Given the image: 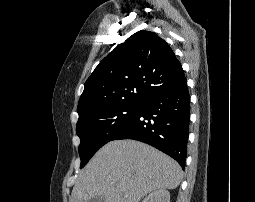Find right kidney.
Wrapping results in <instances>:
<instances>
[{"mask_svg": "<svg viewBox=\"0 0 255 202\" xmlns=\"http://www.w3.org/2000/svg\"><path fill=\"white\" fill-rule=\"evenodd\" d=\"M142 202H170V193L165 189H159L150 193Z\"/></svg>", "mask_w": 255, "mask_h": 202, "instance_id": "1", "label": "right kidney"}]
</instances>
